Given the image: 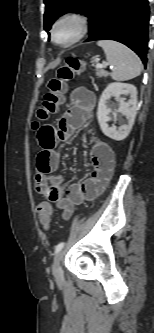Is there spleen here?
I'll return each mask as SVG.
<instances>
[{
  "instance_id": "3e777b00",
  "label": "spleen",
  "mask_w": 154,
  "mask_h": 333,
  "mask_svg": "<svg viewBox=\"0 0 154 333\" xmlns=\"http://www.w3.org/2000/svg\"><path fill=\"white\" fill-rule=\"evenodd\" d=\"M97 45L104 50L107 62L114 66L112 79L127 81L141 74L140 58L125 45L111 40H100Z\"/></svg>"
}]
</instances>
